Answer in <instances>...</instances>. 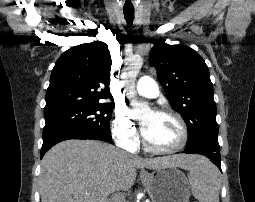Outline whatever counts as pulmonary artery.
I'll return each instance as SVG.
<instances>
[{
	"label": "pulmonary artery",
	"instance_id": "pulmonary-artery-1",
	"mask_svg": "<svg viewBox=\"0 0 255 202\" xmlns=\"http://www.w3.org/2000/svg\"><path fill=\"white\" fill-rule=\"evenodd\" d=\"M136 93L147 98H155L159 95L156 81L150 76H142L136 85Z\"/></svg>",
	"mask_w": 255,
	"mask_h": 202
}]
</instances>
